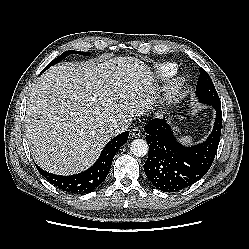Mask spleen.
<instances>
[{"instance_id":"spleen-1","label":"spleen","mask_w":249,"mask_h":249,"mask_svg":"<svg viewBox=\"0 0 249 249\" xmlns=\"http://www.w3.org/2000/svg\"><path fill=\"white\" fill-rule=\"evenodd\" d=\"M193 137L191 136H183L179 139V141H181L184 144H191L193 142Z\"/></svg>"}]
</instances>
